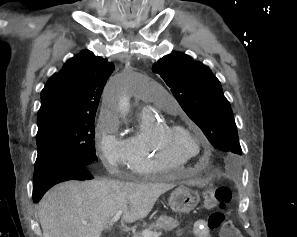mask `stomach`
<instances>
[{
	"mask_svg": "<svg viewBox=\"0 0 297 237\" xmlns=\"http://www.w3.org/2000/svg\"><path fill=\"white\" fill-rule=\"evenodd\" d=\"M199 203V195L193 190L181 186L174 190L169 198L171 209L178 213H189Z\"/></svg>",
	"mask_w": 297,
	"mask_h": 237,
	"instance_id": "1",
	"label": "stomach"
}]
</instances>
